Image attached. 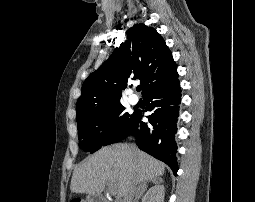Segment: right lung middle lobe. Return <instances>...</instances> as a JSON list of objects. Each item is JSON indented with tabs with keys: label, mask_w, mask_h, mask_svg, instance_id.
<instances>
[{
	"label": "right lung middle lobe",
	"mask_w": 255,
	"mask_h": 202,
	"mask_svg": "<svg viewBox=\"0 0 255 202\" xmlns=\"http://www.w3.org/2000/svg\"><path fill=\"white\" fill-rule=\"evenodd\" d=\"M120 103L90 111L77 118L79 147L91 153L124 139L135 113L124 112Z\"/></svg>",
	"instance_id": "dd1d6c3e"
}]
</instances>
